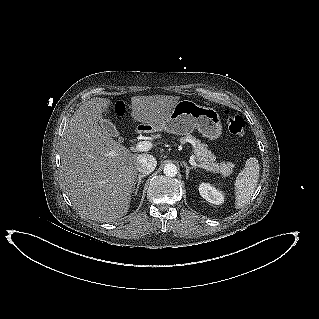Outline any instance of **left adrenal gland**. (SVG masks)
Segmentation results:
<instances>
[{
    "mask_svg": "<svg viewBox=\"0 0 319 319\" xmlns=\"http://www.w3.org/2000/svg\"><path fill=\"white\" fill-rule=\"evenodd\" d=\"M183 165H184V167L186 168V179L188 180V178H189V172H190V170H193L194 167H189L186 162H183Z\"/></svg>",
    "mask_w": 319,
    "mask_h": 319,
    "instance_id": "obj_1",
    "label": "left adrenal gland"
}]
</instances>
